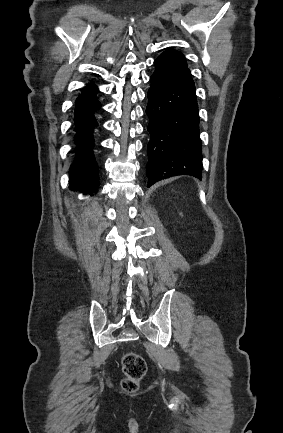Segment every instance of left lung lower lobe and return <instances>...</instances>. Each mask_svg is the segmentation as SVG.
Returning a JSON list of instances; mask_svg holds the SVG:
<instances>
[{"instance_id":"left-lung-lower-lobe-1","label":"left lung lower lobe","mask_w":283,"mask_h":433,"mask_svg":"<svg viewBox=\"0 0 283 433\" xmlns=\"http://www.w3.org/2000/svg\"><path fill=\"white\" fill-rule=\"evenodd\" d=\"M154 64L146 108L150 134L148 186L178 175L201 178L198 106L185 57L168 49Z\"/></svg>"}]
</instances>
